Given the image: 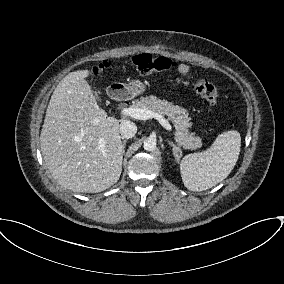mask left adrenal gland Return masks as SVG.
Masks as SVG:
<instances>
[{"instance_id":"a2214340","label":"left adrenal gland","mask_w":284,"mask_h":284,"mask_svg":"<svg viewBox=\"0 0 284 284\" xmlns=\"http://www.w3.org/2000/svg\"><path fill=\"white\" fill-rule=\"evenodd\" d=\"M168 144L173 148V154L176 158H178V153H182V150L180 148V146H177L176 144H174L173 142L171 141H168Z\"/></svg>"}]
</instances>
